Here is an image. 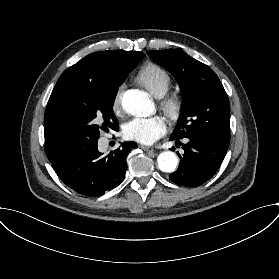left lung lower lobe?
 <instances>
[{
  "label": "left lung lower lobe",
  "mask_w": 279,
  "mask_h": 279,
  "mask_svg": "<svg viewBox=\"0 0 279 279\" xmlns=\"http://www.w3.org/2000/svg\"><path fill=\"white\" fill-rule=\"evenodd\" d=\"M182 139H189V142L182 144L184 155L180 156L177 153L180 165L169 178L178 185L199 186L210 179L220 167L229 147L230 138L212 133H199ZM170 140L176 141V145H181V139L172 136Z\"/></svg>",
  "instance_id": "1"
}]
</instances>
